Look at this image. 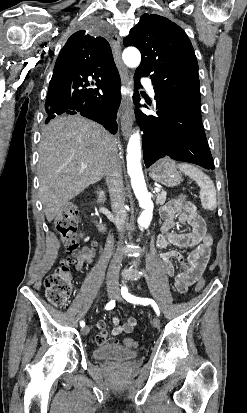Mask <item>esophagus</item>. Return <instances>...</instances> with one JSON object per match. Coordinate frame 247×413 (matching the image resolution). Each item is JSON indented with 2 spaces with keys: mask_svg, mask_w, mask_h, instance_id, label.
<instances>
[{
  "mask_svg": "<svg viewBox=\"0 0 247 413\" xmlns=\"http://www.w3.org/2000/svg\"><path fill=\"white\" fill-rule=\"evenodd\" d=\"M111 46L113 51V57L117 68L119 70V74L121 77V82L124 86H129L130 84V76L128 73L127 68L125 67L124 63L121 60V43L118 32H114L111 36ZM121 117H120V124H121V131L124 138H128L132 131L133 121H134V111L132 107V103L130 97L124 95L122 97L121 103Z\"/></svg>",
  "mask_w": 247,
  "mask_h": 413,
  "instance_id": "1",
  "label": "esophagus"
}]
</instances>
